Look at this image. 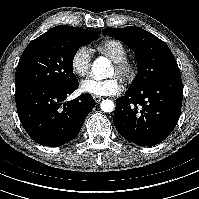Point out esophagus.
I'll use <instances>...</instances> for the list:
<instances>
[{
    "instance_id": "1",
    "label": "esophagus",
    "mask_w": 199,
    "mask_h": 199,
    "mask_svg": "<svg viewBox=\"0 0 199 199\" xmlns=\"http://www.w3.org/2000/svg\"><path fill=\"white\" fill-rule=\"evenodd\" d=\"M93 99L95 100V102H97V103H99L100 101H102L103 100V98L102 97H100V96H93Z\"/></svg>"
}]
</instances>
